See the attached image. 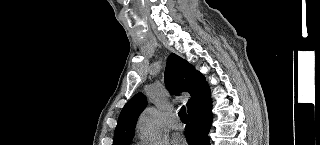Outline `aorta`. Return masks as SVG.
<instances>
[{"label":"aorta","instance_id":"762f6f07","mask_svg":"<svg viewBox=\"0 0 320 145\" xmlns=\"http://www.w3.org/2000/svg\"><path fill=\"white\" fill-rule=\"evenodd\" d=\"M138 126L142 134L156 140L161 134L160 116L157 108H147L141 115Z\"/></svg>","mask_w":320,"mask_h":145}]
</instances>
